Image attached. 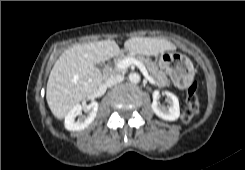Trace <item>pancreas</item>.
<instances>
[{
  "instance_id": "cf45deb5",
  "label": "pancreas",
  "mask_w": 245,
  "mask_h": 170,
  "mask_svg": "<svg viewBox=\"0 0 245 170\" xmlns=\"http://www.w3.org/2000/svg\"><path fill=\"white\" fill-rule=\"evenodd\" d=\"M127 57H132L142 62L145 65L147 71L149 72L150 77L155 81V84L158 87L170 86L171 83L169 79L167 78L166 73L160 70L158 66L156 65V63L151 61L149 58H145L144 56L136 55L134 53H127L126 55L121 54L119 58L117 59L116 63L120 62L121 60ZM120 71L122 72L123 70H120Z\"/></svg>"
}]
</instances>
